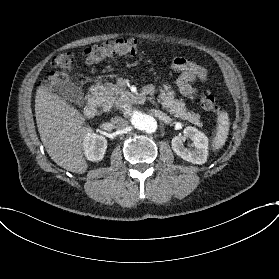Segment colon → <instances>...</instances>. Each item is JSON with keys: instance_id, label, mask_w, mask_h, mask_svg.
I'll use <instances>...</instances> for the list:
<instances>
[{"instance_id": "1", "label": "colon", "mask_w": 279, "mask_h": 279, "mask_svg": "<svg viewBox=\"0 0 279 279\" xmlns=\"http://www.w3.org/2000/svg\"><path fill=\"white\" fill-rule=\"evenodd\" d=\"M141 53V43L136 40H115L98 44L89 48L86 52V61L93 64L114 56H129ZM74 64V56L69 50L58 52L51 61V68L56 74L48 81V89H53L66 76ZM200 105L203 110L211 114H219L222 111L221 105L215 97L207 90L200 95Z\"/></svg>"}]
</instances>
